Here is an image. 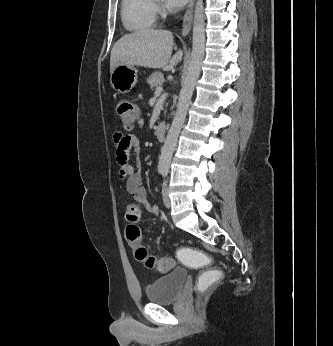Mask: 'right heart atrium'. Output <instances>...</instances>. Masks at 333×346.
I'll list each match as a JSON object with an SVG mask.
<instances>
[{
    "label": "right heart atrium",
    "mask_w": 333,
    "mask_h": 346,
    "mask_svg": "<svg viewBox=\"0 0 333 346\" xmlns=\"http://www.w3.org/2000/svg\"><path fill=\"white\" fill-rule=\"evenodd\" d=\"M154 8H155V12H159L160 11V8L158 5H154Z\"/></svg>",
    "instance_id": "1"
}]
</instances>
